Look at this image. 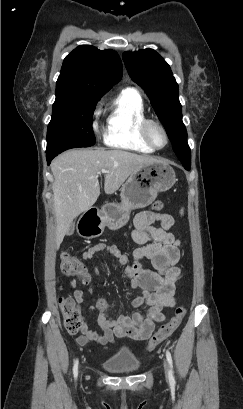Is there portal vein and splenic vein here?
Listing matches in <instances>:
<instances>
[{"instance_id":"portal-vein-and-splenic-vein-1","label":"portal vein and splenic vein","mask_w":243,"mask_h":409,"mask_svg":"<svg viewBox=\"0 0 243 409\" xmlns=\"http://www.w3.org/2000/svg\"><path fill=\"white\" fill-rule=\"evenodd\" d=\"M108 171L106 170V169H102L100 172H99V174H101V173H107Z\"/></svg>"}]
</instances>
